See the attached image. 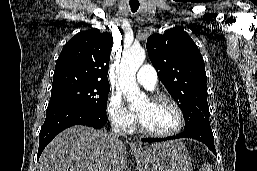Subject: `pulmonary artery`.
Returning <instances> with one entry per match:
<instances>
[{
    "label": "pulmonary artery",
    "mask_w": 257,
    "mask_h": 171,
    "mask_svg": "<svg viewBox=\"0 0 257 171\" xmlns=\"http://www.w3.org/2000/svg\"><path fill=\"white\" fill-rule=\"evenodd\" d=\"M136 79L145 88L154 89L158 80L156 69L151 65L145 64L139 69Z\"/></svg>",
    "instance_id": "pulmonary-artery-1"
}]
</instances>
